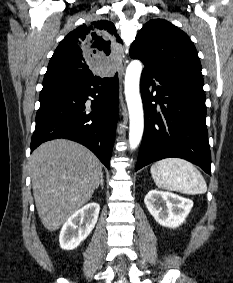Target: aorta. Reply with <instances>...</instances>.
<instances>
[{
    "instance_id": "obj_1",
    "label": "aorta",
    "mask_w": 233,
    "mask_h": 283,
    "mask_svg": "<svg viewBox=\"0 0 233 283\" xmlns=\"http://www.w3.org/2000/svg\"><path fill=\"white\" fill-rule=\"evenodd\" d=\"M142 63L133 60L126 69L125 97L129 111V145L133 150L139 145L144 131L143 105L139 91Z\"/></svg>"
}]
</instances>
